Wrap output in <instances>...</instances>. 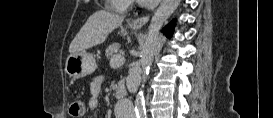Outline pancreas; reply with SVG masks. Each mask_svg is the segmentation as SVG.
<instances>
[{
	"mask_svg": "<svg viewBox=\"0 0 273 118\" xmlns=\"http://www.w3.org/2000/svg\"><path fill=\"white\" fill-rule=\"evenodd\" d=\"M120 45L117 43H113L108 46L106 49L105 55L107 58H113L119 51Z\"/></svg>",
	"mask_w": 273,
	"mask_h": 118,
	"instance_id": "1",
	"label": "pancreas"
}]
</instances>
